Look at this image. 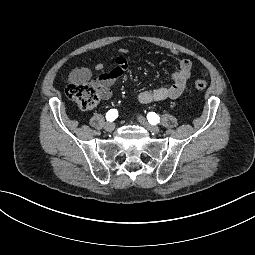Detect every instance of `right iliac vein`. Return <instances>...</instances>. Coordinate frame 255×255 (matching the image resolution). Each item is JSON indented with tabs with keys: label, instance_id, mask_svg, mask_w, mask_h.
<instances>
[{
	"label": "right iliac vein",
	"instance_id": "1",
	"mask_svg": "<svg viewBox=\"0 0 255 255\" xmlns=\"http://www.w3.org/2000/svg\"><path fill=\"white\" fill-rule=\"evenodd\" d=\"M115 129V124L112 122H108L105 124V130L108 132H112Z\"/></svg>",
	"mask_w": 255,
	"mask_h": 255
}]
</instances>
